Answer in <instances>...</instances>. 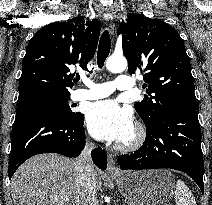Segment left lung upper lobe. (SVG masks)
Listing matches in <instances>:
<instances>
[{
  "mask_svg": "<svg viewBox=\"0 0 212 205\" xmlns=\"http://www.w3.org/2000/svg\"><path fill=\"white\" fill-rule=\"evenodd\" d=\"M129 73H144L148 87L135 109L146 127L170 108L184 102H197L189 57L183 40L169 24L142 15L129 14L118 28Z\"/></svg>",
  "mask_w": 212,
  "mask_h": 205,
  "instance_id": "1",
  "label": "left lung upper lobe"
}]
</instances>
